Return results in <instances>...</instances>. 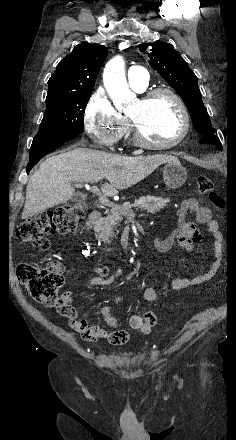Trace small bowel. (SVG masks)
Returning a JSON list of instances; mask_svg holds the SVG:
<instances>
[{
    "label": "small bowel",
    "instance_id": "1",
    "mask_svg": "<svg viewBox=\"0 0 236 440\" xmlns=\"http://www.w3.org/2000/svg\"><path fill=\"white\" fill-rule=\"evenodd\" d=\"M192 214L197 223L207 224L208 231L213 238L214 243V261L210 265L207 272L194 277H181L173 279L169 288L174 291L184 290L190 287L200 285L212 279L221 267L222 257V234L218 229L217 222L212 218L210 209L201 205L196 199H185L181 202L178 210L177 227L167 237H157L155 239V247L160 252H166L171 249L173 244L177 242L187 251L194 250L195 246L201 241L202 235L195 222L187 220V215ZM56 265L62 270L61 265ZM96 275L89 279L88 285L91 287L105 286L111 284L115 279L122 275V270L116 268L112 274L106 266H99L95 270ZM61 296L67 301V308L63 316L70 320L69 329L78 331L81 336L88 341H94L98 337L105 339L113 345H123L128 342L129 336H134L136 331L141 333V337H146V333L151 332V325L144 324L141 316L133 314L129 318L130 327L120 330L117 322L111 314L110 306L103 305L101 314L111 330H106L98 326H94L93 321H81L78 319L77 311L70 305L72 300V292L65 290ZM160 296L159 289L156 287H148L144 292V299L148 302L158 301ZM120 298L116 297L115 302H119Z\"/></svg>",
    "mask_w": 236,
    "mask_h": 440
}]
</instances>
